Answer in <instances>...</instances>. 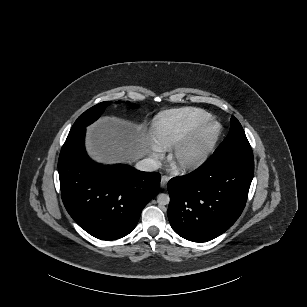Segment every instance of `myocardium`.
<instances>
[{
    "instance_id": "myocardium-1",
    "label": "myocardium",
    "mask_w": 307,
    "mask_h": 307,
    "mask_svg": "<svg viewBox=\"0 0 307 307\" xmlns=\"http://www.w3.org/2000/svg\"><path fill=\"white\" fill-rule=\"evenodd\" d=\"M216 126L219 127V131L211 134L212 129ZM223 130L220 122L212 121L185 142L177 145L170 158L173 171L186 173L205 164L215 151Z\"/></svg>"
}]
</instances>
